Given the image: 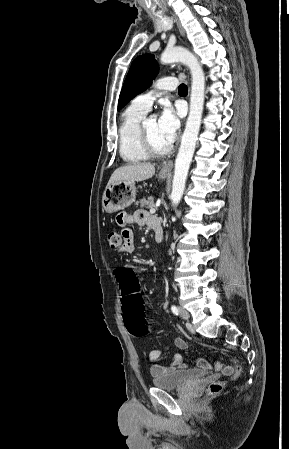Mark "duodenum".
Segmentation results:
<instances>
[{"label":"duodenum","instance_id":"1","mask_svg":"<svg viewBox=\"0 0 289 449\" xmlns=\"http://www.w3.org/2000/svg\"><path fill=\"white\" fill-rule=\"evenodd\" d=\"M153 230H154V232H155V240H156L157 242H161V241H162V238H163V231H162L161 224H156V225L153 227Z\"/></svg>","mask_w":289,"mask_h":449}]
</instances>
